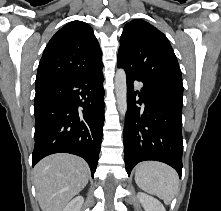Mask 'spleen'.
Wrapping results in <instances>:
<instances>
[{"mask_svg":"<svg viewBox=\"0 0 221 211\" xmlns=\"http://www.w3.org/2000/svg\"><path fill=\"white\" fill-rule=\"evenodd\" d=\"M135 182L145 192L156 195L170 204L179 190L176 171L160 162H142L135 169Z\"/></svg>","mask_w":221,"mask_h":211,"instance_id":"spleen-1","label":"spleen"}]
</instances>
